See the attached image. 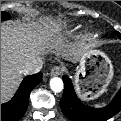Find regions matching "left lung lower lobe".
I'll return each instance as SVG.
<instances>
[{"mask_svg":"<svg viewBox=\"0 0 121 121\" xmlns=\"http://www.w3.org/2000/svg\"><path fill=\"white\" fill-rule=\"evenodd\" d=\"M119 39L121 33L115 32ZM64 92L60 100V106L65 114L72 121H106L121 110V89L114 99L104 108L96 109L82 104L76 96L71 80L63 76Z\"/></svg>","mask_w":121,"mask_h":121,"instance_id":"0a47b994","label":"left lung lower lobe"}]
</instances>
